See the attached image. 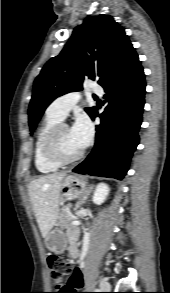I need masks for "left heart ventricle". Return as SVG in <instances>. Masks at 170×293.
Listing matches in <instances>:
<instances>
[{
	"label": "left heart ventricle",
	"mask_w": 170,
	"mask_h": 293,
	"mask_svg": "<svg viewBox=\"0 0 170 293\" xmlns=\"http://www.w3.org/2000/svg\"><path fill=\"white\" fill-rule=\"evenodd\" d=\"M58 149L63 157L69 158L77 154L82 148L76 143L71 130L62 128L58 135Z\"/></svg>",
	"instance_id": "left-heart-ventricle-1"
}]
</instances>
